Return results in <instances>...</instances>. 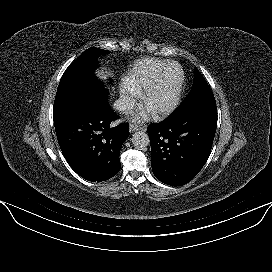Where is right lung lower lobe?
I'll return each mask as SVG.
<instances>
[{"mask_svg": "<svg viewBox=\"0 0 272 272\" xmlns=\"http://www.w3.org/2000/svg\"><path fill=\"white\" fill-rule=\"evenodd\" d=\"M117 118L107 100L84 96L54 120L61 151L82 178L101 182L120 171V148L129 136V127L127 123L110 126Z\"/></svg>", "mask_w": 272, "mask_h": 272, "instance_id": "98d812e1", "label": "right lung lower lobe"}]
</instances>
